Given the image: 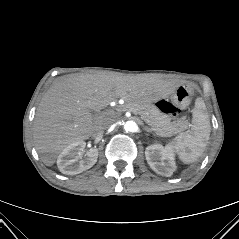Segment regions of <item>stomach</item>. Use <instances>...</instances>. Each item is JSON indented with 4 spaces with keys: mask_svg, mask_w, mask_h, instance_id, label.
<instances>
[{
    "mask_svg": "<svg viewBox=\"0 0 239 239\" xmlns=\"http://www.w3.org/2000/svg\"><path fill=\"white\" fill-rule=\"evenodd\" d=\"M192 89L187 84H179L171 99L159 98L154 102L160 107L161 117L171 123H180L187 116V103L190 100Z\"/></svg>",
    "mask_w": 239,
    "mask_h": 239,
    "instance_id": "obj_1",
    "label": "stomach"
}]
</instances>
